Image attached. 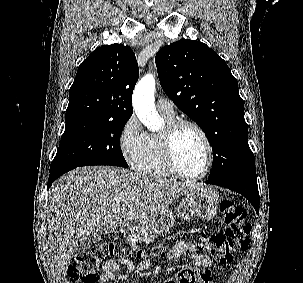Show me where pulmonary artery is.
I'll return each instance as SVG.
<instances>
[{"label":"pulmonary artery","instance_id":"pulmonary-artery-1","mask_svg":"<svg viewBox=\"0 0 303 283\" xmlns=\"http://www.w3.org/2000/svg\"><path fill=\"white\" fill-rule=\"evenodd\" d=\"M157 110L162 116L165 117L174 116L173 106L167 99L160 98L157 100Z\"/></svg>","mask_w":303,"mask_h":283}]
</instances>
